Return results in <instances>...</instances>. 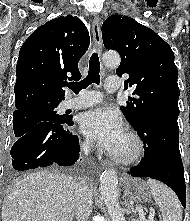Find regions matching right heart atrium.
Returning <instances> with one entry per match:
<instances>
[{"mask_svg":"<svg viewBox=\"0 0 190 221\" xmlns=\"http://www.w3.org/2000/svg\"><path fill=\"white\" fill-rule=\"evenodd\" d=\"M84 149H89L92 146V142L89 139H85L82 143Z\"/></svg>","mask_w":190,"mask_h":221,"instance_id":"1","label":"right heart atrium"}]
</instances>
